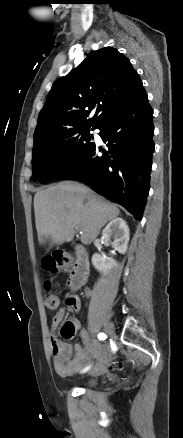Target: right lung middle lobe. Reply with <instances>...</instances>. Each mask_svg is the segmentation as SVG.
<instances>
[{
    "mask_svg": "<svg viewBox=\"0 0 183 438\" xmlns=\"http://www.w3.org/2000/svg\"><path fill=\"white\" fill-rule=\"evenodd\" d=\"M92 143L90 127L61 131L35 140L32 152L33 178L43 183L54 179L83 149Z\"/></svg>",
    "mask_w": 183,
    "mask_h": 438,
    "instance_id": "dd1d6c3e",
    "label": "right lung middle lobe"
}]
</instances>
